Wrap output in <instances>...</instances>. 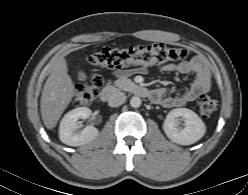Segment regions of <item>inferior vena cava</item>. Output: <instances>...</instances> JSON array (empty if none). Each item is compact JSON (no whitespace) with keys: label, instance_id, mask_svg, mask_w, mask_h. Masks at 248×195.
Here are the masks:
<instances>
[{"label":"inferior vena cava","instance_id":"1","mask_svg":"<svg viewBox=\"0 0 248 195\" xmlns=\"http://www.w3.org/2000/svg\"><path fill=\"white\" fill-rule=\"evenodd\" d=\"M126 101V96L123 92L117 90L112 93V95L109 97L108 105L111 107H117L119 105H122Z\"/></svg>","mask_w":248,"mask_h":195}]
</instances>
